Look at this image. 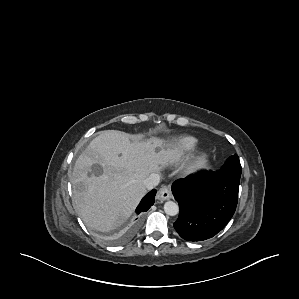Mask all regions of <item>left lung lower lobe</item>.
<instances>
[{
    "mask_svg": "<svg viewBox=\"0 0 299 299\" xmlns=\"http://www.w3.org/2000/svg\"><path fill=\"white\" fill-rule=\"evenodd\" d=\"M240 177L200 171L172 185L180 214L173 224L187 241H203L215 236L232 218L238 201Z\"/></svg>",
    "mask_w": 299,
    "mask_h": 299,
    "instance_id": "obj_1",
    "label": "left lung lower lobe"
}]
</instances>
